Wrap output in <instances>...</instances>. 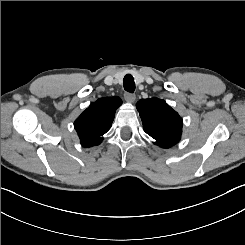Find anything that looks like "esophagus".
Segmentation results:
<instances>
[{
    "label": "esophagus",
    "instance_id": "34e87169",
    "mask_svg": "<svg viewBox=\"0 0 245 245\" xmlns=\"http://www.w3.org/2000/svg\"><path fill=\"white\" fill-rule=\"evenodd\" d=\"M124 98H125V100H126L127 102L133 103V102L135 101V99H136V96H135V94H133V93H125V94H124Z\"/></svg>",
    "mask_w": 245,
    "mask_h": 245
}]
</instances>
